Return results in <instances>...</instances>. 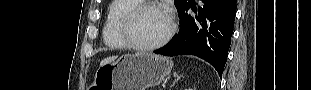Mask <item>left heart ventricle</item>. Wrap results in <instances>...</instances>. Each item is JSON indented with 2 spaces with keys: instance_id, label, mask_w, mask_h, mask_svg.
Segmentation results:
<instances>
[{
  "instance_id": "b2bd125f",
  "label": "left heart ventricle",
  "mask_w": 311,
  "mask_h": 90,
  "mask_svg": "<svg viewBox=\"0 0 311 90\" xmlns=\"http://www.w3.org/2000/svg\"><path fill=\"white\" fill-rule=\"evenodd\" d=\"M169 28V20L164 11L148 9L140 14L133 28L136 41L149 45L160 40Z\"/></svg>"
}]
</instances>
